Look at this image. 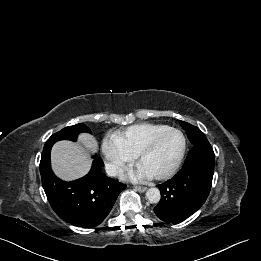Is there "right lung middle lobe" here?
<instances>
[{
  "instance_id": "1",
  "label": "right lung middle lobe",
  "mask_w": 261,
  "mask_h": 261,
  "mask_svg": "<svg viewBox=\"0 0 261 261\" xmlns=\"http://www.w3.org/2000/svg\"><path fill=\"white\" fill-rule=\"evenodd\" d=\"M81 132H89L91 133L90 129L84 125V124H76L73 126L66 127L62 129L61 131L53 134L46 142L45 146L47 147H52V145L62 139H67V140H76L77 136Z\"/></svg>"
}]
</instances>
